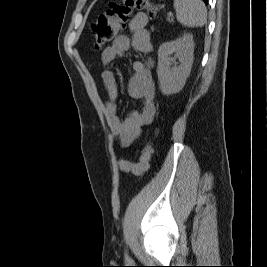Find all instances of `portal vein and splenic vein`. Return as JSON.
<instances>
[{
	"mask_svg": "<svg viewBox=\"0 0 267 267\" xmlns=\"http://www.w3.org/2000/svg\"><path fill=\"white\" fill-rule=\"evenodd\" d=\"M169 15L171 16V15H172V13H171V12H169Z\"/></svg>",
	"mask_w": 267,
	"mask_h": 267,
	"instance_id": "18ae733b",
	"label": "portal vein and splenic vein"
}]
</instances>
